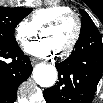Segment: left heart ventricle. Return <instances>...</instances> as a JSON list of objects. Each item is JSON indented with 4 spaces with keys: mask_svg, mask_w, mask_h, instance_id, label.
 Here are the masks:
<instances>
[{
    "mask_svg": "<svg viewBox=\"0 0 103 103\" xmlns=\"http://www.w3.org/2000/svg\"><path fill=\"white\" fill-rule=\"evenodd\" d=\"M75 31V22L74 20H69L56 28H50L42 31L41 36L49 38L56 51L64 48L72 39Z\"/></svg>",
    "mask_w": 103,
    "mask_h": 103,
    "instance_id": "b2bd125f",
    "label": "left heart ventricle"
}]
</instances>
